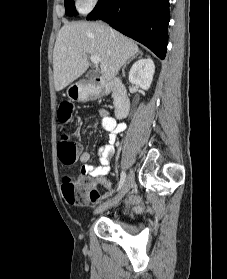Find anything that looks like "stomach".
<instances>
[{
	"label": "stomach",
	"mask_w": 227,
	"mask_h": 279,
	"mask_svg": "<svg viewBox=\"0 0 227 279\" xmlns=\"http://www.w3.org/2000/svg\"><path fill=\"white\" fill-rule=\"evenodd\" d=\"M92 95L90 88L81 84L71 85L67 89V97L71 100H87Z\"/></svg>",
	"instance_id": "stomach-1"
}]
</instances>
